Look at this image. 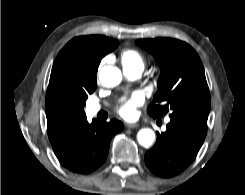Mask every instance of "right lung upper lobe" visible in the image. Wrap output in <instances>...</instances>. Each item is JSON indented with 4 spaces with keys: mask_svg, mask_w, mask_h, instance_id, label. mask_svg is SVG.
Masks as SVG:
<instances>
[{
    "mask_svg": "<svg viewBox=\"0 0 245 195\" xmlns=\"http://www.w3.org/2000/svg\"><path fill=\"white\" fill-rule=\"evenodd\" d=\"M117 45V40L101 35L80 36L57 55L45 100L48 137L54 150L68 142L87 121L83 94L97 83L101 58Z\"/></svg>",
    "mask_w": 245,
    "mask_h": 195,
    "instance_id": "cb5924a9",
    "label": "right lung upper lobe"
}]
</instances>
